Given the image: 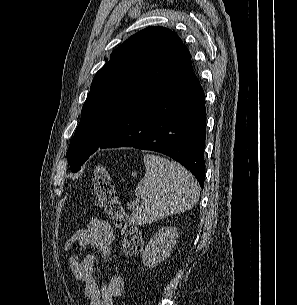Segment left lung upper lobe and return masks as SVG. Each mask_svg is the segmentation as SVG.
Here are the masks:
<instances>
[{
	"label": "left lung upper lobe",
	"instance_id": "1",
	"mask_svg": "<svg viewBox=\"0 0 297 305\" xmlns=\"http://www.w3.org/2000/svg\"><path fill=\"white\" fill-rule=\"evenodd\" d=\"M191 72V54L170 29L152 26L128 38L92 81L67 151L71 171L80 170L149 88Z\"/></svg>",
	"mask_w": 297,
	"mask_h": 305
}]
</instances>
